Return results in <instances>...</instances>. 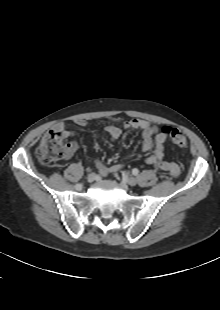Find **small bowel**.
Here are the masks:
<instances>
[{
    "label": "small bowel",
    "instance_id": "c3829d8e",
    "mask_svg": "<svg viewBox=\"0 0 220 310\" xmlns=\"http://www.w3.org/2000/svg\"><path fill=\"white\" fill-rule=\"evenodd\" d=\"M114 121L120 122L122 128L116 125H109L106 127V132L112 140H117L120 138L122 129L138 130L141 132V151L143 153L152 152L151 155L145 159V163L152 165L156 169L166 172L173 177H177L180 174V166L177 163L163 160L165 143L168 139V136L162 133L158 126L147 120L137 118L131 120L114 119ZM75 123L80 127H85L88 124L84 119H77L75 120ZM54 129L60 131L64 139L73 137L75 135V131L68 129L66 124L63 122L57 123ZM77 149V142H69L67 144L68 153L66 157L70 158L77 151ZM96 166L100 174L103 176L116 172L121 168V165L118 163L105 165L100 160L96 161Z\"/></svg>",
    "mask_w": 220,
    "mask_h": 310
}]
</instances>
